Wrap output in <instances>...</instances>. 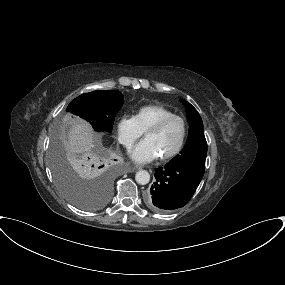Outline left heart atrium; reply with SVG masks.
<instances>
[{
  "instance_id": "1",
  "label": "left heart atrium",
  "mask_w": 285,
  "mask_h": 285,
  "mask_svg": "<svg viewBox=\"0 0 285 285\" xmlns=\"http://www.w3.org/2000/svg\"><path fill=\"white\" fill-rule=\"evenodd\" d=\"M130 157L137 163H147L158 157V153L152 143L144 139L129 151Z\"/></svg>"
}]
</instances>
